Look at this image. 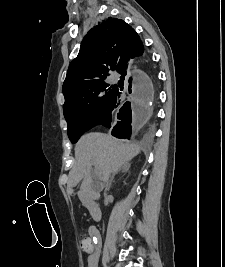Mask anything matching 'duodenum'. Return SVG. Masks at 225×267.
Listing matches in <instances>:
<instances>
[{
  "mask_svg": "<svg viewBox=\"0 0 225 267\" xmlns=\"http://www.w3.org/2000/svg\"><path fill=\"white\" fill-rule=\"evenodd\" d=\"M83 196L85 198V203H86L87 209L91 217L94 220H99L101 218V210H100L98 203L95 200L96 197L94 195L89 196L87 193L83 194Z\"/></svg>",
  "mask_w": 225,
  "mask_h": 267,
  "instance_id": "duodenum-1",
  "label": "duodenum"
}]
</instances>
